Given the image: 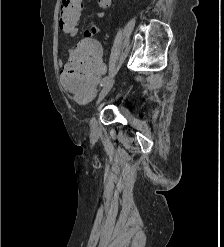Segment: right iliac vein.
<instances>
[{
  "instance_id": "right-iliac-vein-1",
  "label": "right iliac vein",
  "mask_w": 224,
  "mask_h": 247,
  "mask_svg": "<svg viewBox=\"0 0 224 247\" xmlns=\"http://www.w3.org/2000/svg\"><path fill=\"white\" fill-rule=\"evenodd\" d=\"M114 85V80L111 79L109 80L106 85L103 87V89L101 90L100 94H99V97L96 101V105H98L101 100L109 93V91L111 90V88L113 87ZM90 128L93 132H96L97 131V121H96V118L94 116V114L92 115L91 117V120H90Z\"/></svg>"
}]
</instances>
